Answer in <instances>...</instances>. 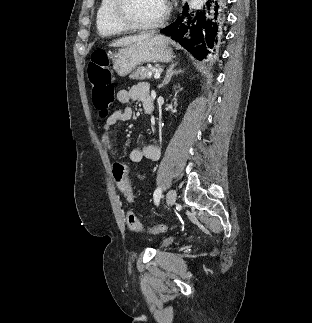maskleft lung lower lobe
<instances>
[{"instance_id": "1", "label": "left lung lower lobe", "mask_w": 312, "mask_h": 323, "mask_svg": "<svg viewBox=\"0 0 312 323\" xmlns=\"http://www.w3.org/2000/svg\"><path fill=\"white\" fill-rule=\"evenodd\" d=\"M225 27V4L223 0H209L206 7L196 15L186 7L175 22L161 30L202 60L215 52L222 41Z\"/></svg>"}]
</instances>
